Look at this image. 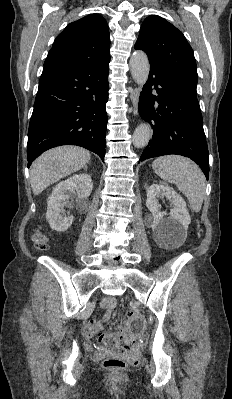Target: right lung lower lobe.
<instances>
[{
    "mask_svg": "<svg viewBox=\"0 0 232 399\" xmlns=\"http://www.w3.org/2000/svg\"><path fill=\"white\" fill-rule=\"evenodd\" d=\"M109 62L43 68L28 130V167L60 145L84 147L104 161Z\"/></svg>",
    "mask_w": 232,
    "mask_h": 399,
    "instance_id": "1",
    "label": "right lung lower lobe"
}]
</instances>
